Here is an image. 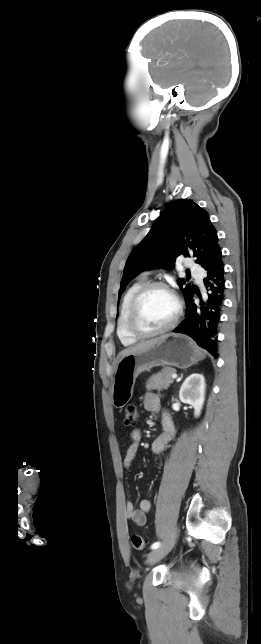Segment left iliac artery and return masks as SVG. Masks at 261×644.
<instances>
[{"label": "left iliac artery", "instance_id": "1", "mask_svg": "<svg viewBox=\"0 0 261 644\" xmlns=\"http://www.w3.org/2000/svg\"><path fill=\"white\" fill-rule=\"evenodd\" d=\"M158 547H160V542H155L151 545V549H157Z\"/></svg>", "mask_w": 261, "mask_h": 644}]
</instances>
